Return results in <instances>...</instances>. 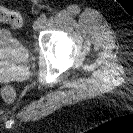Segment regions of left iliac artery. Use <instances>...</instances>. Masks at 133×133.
<instances>
[{"mask_svg": "<svg viewBox=\"0 0 133 133\" xmlns=\"http://www.w3.org/2000/svg\"><path fill=\"white\" fill-rule=\"evenodd\" d=\"M40 19L42 20V22H45L47 20V16L46 15H41Z\"/></svg>", "mask_w": 133, "mask_h": 133, "instance_id": "obj_1", "label": "left iliac artery"}]
</instances>
